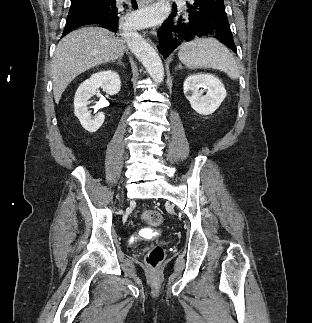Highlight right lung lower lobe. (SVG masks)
Segmentation results:
<instances>
[{
    "label": "right lung lower lobe",
    "instance_id": "right-lung-lower-lobe-1",
    "mask_svg": "<svg viewBox=\"0 0 312 323\" xmlns=\"http://www.w3.org/2000/svg\"><path fill=\"white\" fill-rule=\"evenodd\" d=\"M134 9H137L135 0H131ZM126 6V5H124ZM127 14L116 5V0H93L71 7L67 16L66 26L62 37L74 28L98 24L112 32H119L127 26Z\"/></svg>",
    "mask_w": 312,
    "mask_h": 323
}]
</instances>
